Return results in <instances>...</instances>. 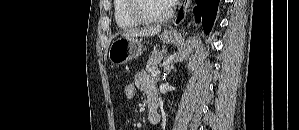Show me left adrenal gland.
Listing matches in <instances>:
<instances>
[{"instance_id":"obj_1","label":"left adrenal gland","mask_w":299,"mask_h":130,"mask_svg":"<svg viewBox=\"0 0 299 130\" xmlns=\"http://www.w3.org/2000/svg\"><path fill=\"white\" fill-rule=\"evenodd\" d=\"M172 69H173V66H171V67L168 66L167 69H166V72H167V73H170Z\"/></svg>"}]
</instances>
